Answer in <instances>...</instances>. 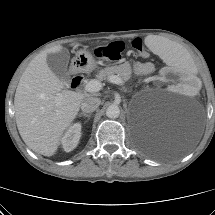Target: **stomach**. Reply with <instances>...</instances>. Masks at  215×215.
Wrapping results in <instances>:
<instances>
[{"mask_svg":"<svg viewBox=\"0 0 215 215\" xmlns=\"http://www.w3.org/2000/svg\"><path fill=\"white\" fill-rule=\"evenodd\" d=\"M96 60L92 54L86 50H80L72 59V67L75 71L87 72L96 68Z\"/></svg>","mask_w":215,"mask_h":215,"instance_id":"1","label":"stomach"}]
</instances>
